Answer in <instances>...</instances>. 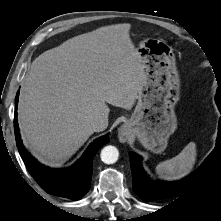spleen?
I'll use <instances>...</instances> for the list:
<instances>
[{
  "label": "spleen",
  "instance_id": "3e777b00",
  "mask_svg": "<svg viewBox=\"0 0 221 221\" xmlns=\"http://www.w3.org/2000/svg\"><path fill=\"white\" fill-rule=\"evenodd\" d=\"M196 144L190 142L172 159L163 161L156 166V173L166 180H177L191 172L196 162Z\"/></svg>",
  "mask_w": 221,
  "mask_h": 221
}]
</instances>
